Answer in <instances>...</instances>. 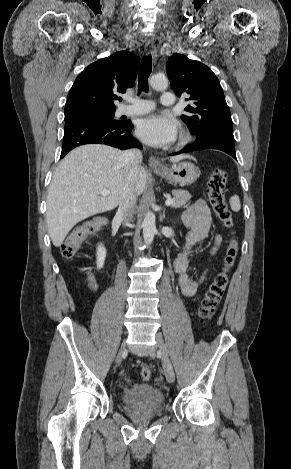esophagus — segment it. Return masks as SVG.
<instances>
[{
    "instance_id": "esophagus-1",
    "label": "esophagus",
    "mask_w": 291,
    "mask_h": 469,
    "mask_svg": "<svg viewBox=\"0 0 291 469\" xmlns=\"http://www.w3.org/2000/svg\"><path fill=\"white\" fill-rule=\"evenodd\" d=\"M146 49H147L148 51H150V53H151L153 59H155L156 56H157V53H156V50L154 49V45H153V43H152L151 41H148V42L146 43ZM149 165H150V167L153 168V169H160V168L163 167V165H162V163L159 161V159L156 158V157L153 156V155H151V156L149 157Z\"/></svg>"
}]
</instances>
